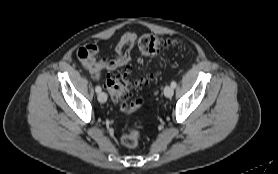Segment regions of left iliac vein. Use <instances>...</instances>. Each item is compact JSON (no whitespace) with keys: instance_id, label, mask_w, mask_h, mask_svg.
<instances>
[{"instance_id":"left-iliac-vein-1","label":"left iliac vein","mask_w":278,"mask_h":174,"mask_svg":"<svg viewBox=\"0 0 278 174\" xmlns=\"http://www.w3.org/2000/svg\"><path fill=\"white\" fill-rule=\"evenodd\" d=\"M174 94V90H173V87L167 85L165 88H164V95L167 97V98H171Z\"/></svg>"}]
</instances>
